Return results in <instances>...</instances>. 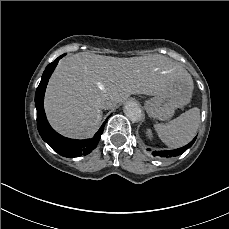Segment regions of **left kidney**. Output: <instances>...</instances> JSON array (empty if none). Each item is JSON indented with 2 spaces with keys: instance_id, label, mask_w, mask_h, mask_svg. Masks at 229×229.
Segmentation results:
<instances>
[{
  "instance_id": "left-kidney-1",
  "label": "left kidney",
  "mask_w": 229,
  "mask_h": 229,
  "mask_svg": "<svg viewBox=\"0 0 229 229\" xmlns=\"http://www.w3.org/2000/svg\"><path fill=\"white\" fill-rule=\"evenodd\" d=\"M146 134H147V136H148V138H149L150 140L153 138V134H152L151 129H147Z\"/></svg>"
}]
</instances>
